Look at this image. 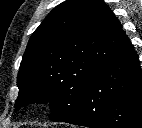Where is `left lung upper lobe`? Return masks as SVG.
I'll list each match as a JSON object with an SVG mask.
<instances>
[{
	"label": "left lung upper lobe",
	"mask_w": 142,
	"mask_h": 128,
	"mask_svg": "<svg viewBox=\"0 0 142 128\" xmlns=\"http://www.w3.org/2000/svg\"><path fill=\"white\" fill-rule=\"evenodd\" d=\"M130 42L102 0H67L32 34L18 73L15 108L50 102L52 121L77 105L84 87Z\"/></svg>",
	"instance_id": "left-lung-upper-lobe-1"
}]
</instances>
